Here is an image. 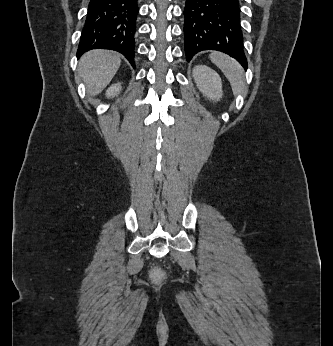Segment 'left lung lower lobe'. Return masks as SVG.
Returning a JSON list of instances; mask_svg holds the SVG:
<instances>
[{
  "label": "left lung lower lobe",
  "mask_w": 333,
  "mask_h": 346,
  "mask_svg": "<svg viewBox=\"0 0 333 346\" xmlns=\"http://www.w3.org/2000/svg\"><path fill=\"white\" fill-rule=\"evenodd\" d=\"M184 19L187 61L200 51L217 50L247 69L239 0H186Z\"/></svg>",
  "instance_id": "1"
}]
</instances>
